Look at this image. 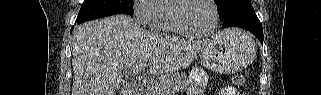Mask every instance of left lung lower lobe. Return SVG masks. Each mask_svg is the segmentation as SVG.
Listing matches in <instances>:
<instances>
[{
	"label": "left lung lower lobe",
	"instance_id": "1",
	"mask_svg": "<svg viewBox=\"0 0 321 95\" xmlns=\"http://www.w3.org/2000/svg\"><path fill=\"white\" fill-rule=\"evenodd\" d=\"M221 20L223 28L235 26L246 29L263 43V29L251 4L234 9Z\"/></svg>",
	"mask_w": 321,
	"mask_h": 95
}]
</instances>
